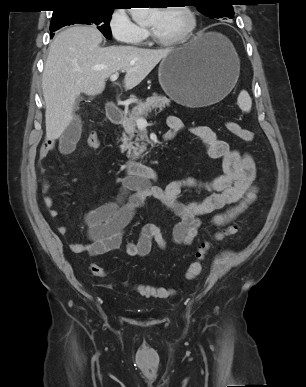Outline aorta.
Wrapping results in <instances>:
<instances>
[{"mask_svg":"<svg viewBox=\"0 0 306 387\" xmlns=\"http://www.w3.org/2000/svg\"><path fill=\"white\" fill-rule=\"evenodd\" d=\"M151 12V8H131L132 19L138 24L144 22Z\"/></svg>","mask_w":306,"mask_h":387,"instance_id":"obj_1","label":"aorta"}]
</instances>
